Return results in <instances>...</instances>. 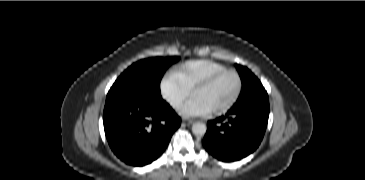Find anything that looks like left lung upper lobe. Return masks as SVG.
<instances>
[{
	"instance_id": "left-lung-upper-lobe-1",
	"label": "left lung upper lobe",
	"mask_w": 365,
	"mask_h": 180,
	"mask_svg": "<svg viewBox=\"0 0 365 180\" xmlns=\"http://www.w3.org/2000/svg\"><path fill=\"white\" fill-rule=\"evenodd\" d=\"M242 80V90L239 98L265 90L258 78L246 67L235 65Z\"/></svg>"
}]
</instances>
